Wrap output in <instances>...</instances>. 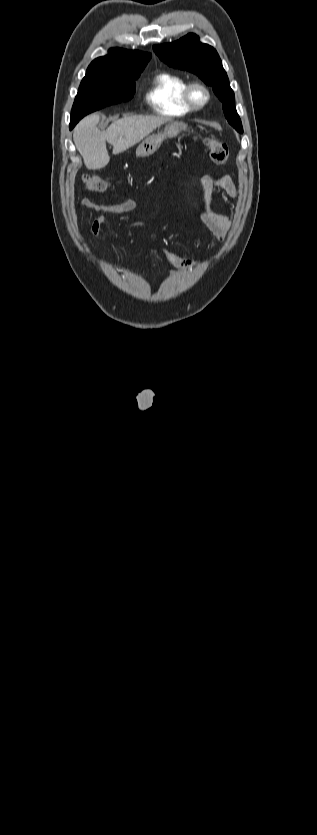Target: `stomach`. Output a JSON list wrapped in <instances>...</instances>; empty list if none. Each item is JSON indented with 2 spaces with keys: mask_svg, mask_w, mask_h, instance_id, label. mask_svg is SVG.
Segmentation results:
<instances>
[{
  "mask_svg": "<svg viewBox=\"0 0 317 835\" xmlns=\"http://www.w3.org/2000/svg\"><path fill=\"white\" fill-rule=\"evenodd\" d=\"M187 129V125L179 121H170L165 123L162 128H158L157 133L150 134L137 148L136 156L149 157L154 154L160 147L163 140L167 137H176L181 132Z\"/></svg>",
  "mask_w": 317,
  "mask_h": 835,
  "instance_id": "0dacf381",
  "label": "stomach"
}]
</instances>
